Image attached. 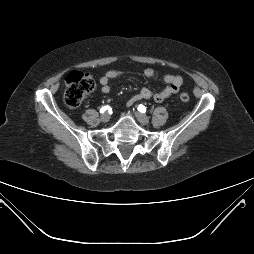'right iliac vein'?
<instances>
[{
  "label": "right iliac vein",
  "mask_w": 254,
  "mask_h": 254,
  "mask_svg": "<svg viewBox=\"0 0 254 254\" xmlns=\"http://www.w3.org/2000/svg\"><path fill=\"white\" fill-rule=\"evenodd\" d=\"M110 120V115L108 113H104L101 115L102 122H108Z\"/></svg>",
  "instance_id": "63e3f726"
}]
</instances>
